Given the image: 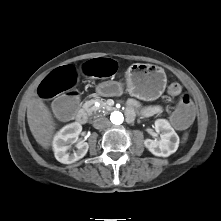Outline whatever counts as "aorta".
<instances>
[{
    "label": "aorta",
    "instance_id": "762f6f07",
    "mask_svg": "<svg viewBox=\"0 0 221 221\" xmlns=\"http://www.w3.org/2000/svg\"><path fill=\"white\" fill-rule=\"evenodd\" d=\"M110 120L113 124L120 125V124L123 123L124 117H123V114L121 112L114 111L113 113H111Z\"/></svg>",
    "mask_w": 221,
    "mask_h": 221
}]
</instances>
